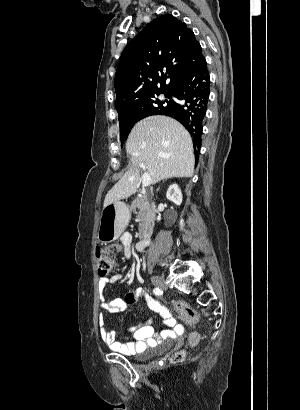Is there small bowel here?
I'll use <instances>...</instances> for the list:
<instances>
[{"label": "small bowel", "instance_id": "small-bowel-1", "mask_svg": "<svg viewBox=\"0 0 300 410\" xmlns=\"http://www.w3.org/2000/svg\"><path fill=\"white\" fill-rule=\"evenodd\" d=\"M123 245L127 248L129 245L128 237L122 238ZM121 278V274H113L111 276H101L98 281L100 290V309L113 314L123 313L127 306L133 304L139 299L146 300L148 307L158 313L163 319L167 330L163 331L160 335L155 333L154 327L151 321H146L138 326L128 328V332L132 335L133 339L127 342H119L116 340V334L114 331L109 330L105 326V320L103 317L99 318V334L102 341L113 351H116L123 355H131L145 350L146 348L154 346L160 339L174 337L179 332V325L174 318H172L170 312L159 302L149 296L143 289L137 288L129 292L125 299H111L107 300L103 296V290L108 284L117 282Z\"/></svg>", "mask_w": 300, "mask_h": 410}]
</instances>
